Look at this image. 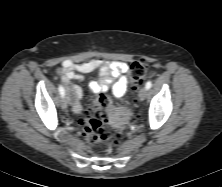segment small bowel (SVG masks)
<instances>
[{
    "mask_svg": "<svg viewBox=\"0 0 222 187\" xmlns=\"http://www.w3.org/2000/svg\"><path fill=\"white\" fill-rule=\"evenodd\" d=\"M96 70L100 72V78L97 81L91 80L89 82V88L92 92L105 95L111 91L116 98L123 97L127 92V63L103 59H92L83 63L65 60L58 68L57 74L72 97V108L76 113H80L82 110L81 99L83 92L79 86L71 84V81H82L84 74Z\"/></svg>",
    "mask_w": 222,
    "mask_h": 187,
    "instance_id": "c3829d8e",
    "label": "small bowel"
}]
</instances>
